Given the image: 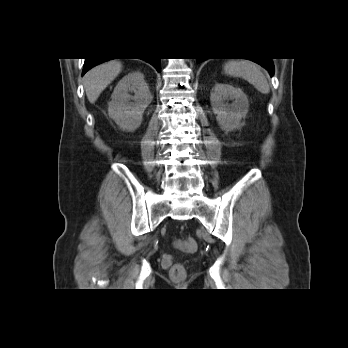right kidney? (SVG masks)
Returning <instances> with one entry per match:
<instances>
[{
  "mask_svg": "<svg viewBox=\"0 0 348 348\" xmlns=\"http://www.w3.org/2000/svg\"><path fill=\"white\" fill-rule=\"evenodd\" d=\"M152 99L143 73L130 72L115 87L108 105V115L120 129L134 131L141 125L143 113Z\"/></svg>",
  "mask_w": 348,
  "mask_h": 348,
  "instance_id": "right-kidney-1",
  "label": "right kidney"
}]
</instances>
